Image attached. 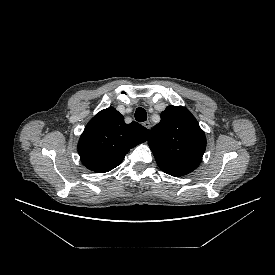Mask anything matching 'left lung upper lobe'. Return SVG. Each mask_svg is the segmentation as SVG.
<instances>
[{"label":"left lung upper lobe","mask_w":275,"mask_h":275,"mask_svg":"<svg viewBox=\"0 0 275 275\" xmlns=\"http://www.w3.org/2000/svg\"><path fill=\"white\" fill-rule=\"evenodd\" d=\"M159 168L172 176L195 170L206 149V137L196 118L182 106H168L161 113L148 140Z\"/></svg>","instance_id":"obj_1"}]
</instances>
